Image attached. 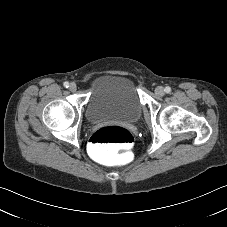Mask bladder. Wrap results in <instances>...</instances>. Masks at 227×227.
Listing matches in <instances>:
<instances>
[{
    "label": "bladder",
    "mask_w": 227,
    "mask_h": 227,
    "mask_svg": "<svg viewBox=\"0 0 227 227\" xmlns=\"http://www.w3.org/2000/svg\"><path fill=\"white\" fill-rule=\"evenodd\" d=\"M142 105L135 80L124 73L100 76L85 106V117L90 123L137 122Z\"/></svg>",
    "instance_id": "obj_1"
}]
</instances>
